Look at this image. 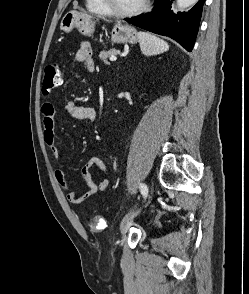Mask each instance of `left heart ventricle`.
Here are the masks:
<instances>
[{
	"label": "left heart ventricle",
	"mask_w": 249,
	"mask_h": 294,
	"mask_svg": "<svg viewBox=\"0 0 249 294\" xmlns=\"http://www.w3.org/2000/svg\"><path fill=\"white\" fill-rule=\"evenodd\" d=\"M112 5L121 11H128L138 7L143 0H110Z\"/></svg>",
	"instance_id": "b2bd125f"
}]
</instances>
